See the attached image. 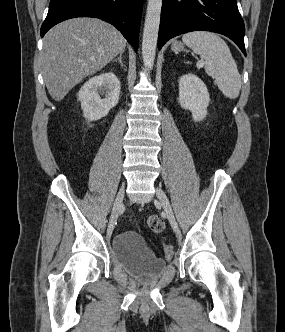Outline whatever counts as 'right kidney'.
<instances>
[{
    "instance_id": "obj_1",
    "label": "right kidney",
    "mask_w": 285,
    "mask_h": 332,
    "mask_svg": "<svg viewBox=\"0 0 285 332\" xmlns=\"http://www.w3.org/2000/svg\"><path fill=\"white\" fill-rule=\"evenodd\" d=\"M120 81L112 72L102 73L89 79L79 90L83 115L90 121L105 117L119 101ZM105 96V98H101Z\"/></svg>"
}]
</instances>
